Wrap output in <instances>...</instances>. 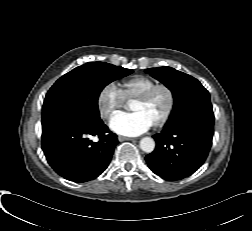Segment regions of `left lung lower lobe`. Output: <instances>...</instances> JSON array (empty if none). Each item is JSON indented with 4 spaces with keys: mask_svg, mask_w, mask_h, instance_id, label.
<instances>
[{
    "mask_svg": "<svg viewBox=\"0 0 252 231\" xmlns=\"http://www.w3.org/2000/svg\"><path fill=\"white\" fill-rule=\"evenodd\" d=\"M212 107H195L169 120L156 140L155 150L146 156L149 168L158 176L179 180L204 163L213 137Z\"/></svg>",
    "mask_w": 252,
    "mask_h": 231,
    "instance_id": "obj_1",
    "label": "left lung lower lobe"
}]
</instances>
